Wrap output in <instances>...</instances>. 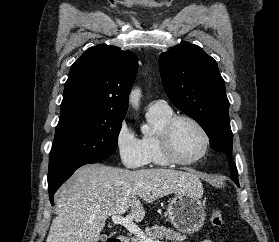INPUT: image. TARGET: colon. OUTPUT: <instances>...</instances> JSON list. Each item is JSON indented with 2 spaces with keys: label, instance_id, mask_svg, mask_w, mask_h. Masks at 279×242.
I'll use <instances>...</instances> for the list:
<instances>
[{
  "label": "colon",
  "instance_id": "colon-1",
  "mask_svg": "<svg viewBox=\"0 0 279 242\" xmlns=\"http://www.w3.org/2000/svg\"><path fill=\"white\" fill-rule=\"evenodd\" d=\"M210 220L214 227H221L224 223L222 211L219 208L213 209L211 212Z\"/></svg>",
  "mask_w": 279,
  "mask_h": 242
}]
</instances>
